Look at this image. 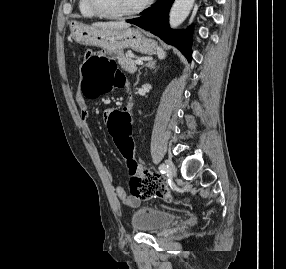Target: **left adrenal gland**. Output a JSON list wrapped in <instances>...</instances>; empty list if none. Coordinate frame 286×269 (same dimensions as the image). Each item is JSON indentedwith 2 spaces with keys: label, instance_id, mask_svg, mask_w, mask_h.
<instances>
[{
  "label": "left adrenal gland",
  "instance_id": "a2214340",
  "mask_svg": "<svg viewBox=\"0 0 286 269\" xmlns=\"http://www.w3.org/2000/svg\"><path fill=\"white\" fill-rule=\"evenodd\" d=\"M143 67H148V68H150V69H156V60H150V61H148V63H146L144 66H142V67L139 69L138 75H137L136 84H138V82H139V77H140V75H141V69H142Z\"/></svg>",
  "mask_w": 286,
  "mask_h": 269
}]
</instances>
